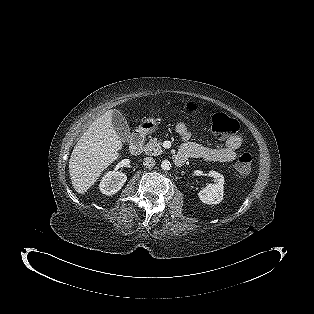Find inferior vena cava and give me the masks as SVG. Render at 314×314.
I'll return each mask as SVG.
<instances>
[{
    "instance_id": "1",
    "label": "inferior vena cava",
    "mask_w": 314,
    "mask_h": 314,
    "mask_svg": "<svg viewBox=\"0 0 314 314\" xmlns=\"http://www.w3.org/2000/svg\"><path fill=\"white\" fill-rule=\"evenodd\" d=\"M143 165L146 168H153L155 166V160L153 159V157H146L143 160Z\"/></svg>"
}]
</instances>
